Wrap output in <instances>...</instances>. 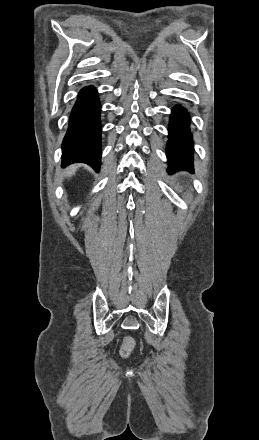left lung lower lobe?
Instances as JSON below:
<instances>
[{
	"instance_id": "0a47b994",
	"label": "left lung lower lobe",
	"mask_w": 259,
	"mask_h": 440,
	"mask_svg": "<svg viewBox=\"0 0 259 440\" xmlns=\"http://www.w3.org/2000/svg\"><path fill=\"white\" fill-rule=\"evenodd\" d=\"M168 171L185 169L193 171V145L189 117L185 109L176 106L172 110L167 144Z\"/></svg>"
}]
</instances>
